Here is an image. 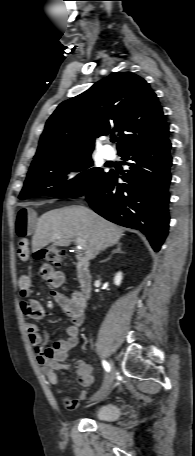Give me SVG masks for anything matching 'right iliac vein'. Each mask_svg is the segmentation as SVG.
Instances as JSON below:
<instances>
[{
	"mask_svg": "<svg viewBox=\"0 0 195 456\" xmlns=\"http://www.w3.org/2000/svg\"><path fill=\"white\" fill-rule=\"evenodd\" d=\"M111 366H112L111 372L105 377V380H104V383H103L101 389L95 394V396L93 397V400H100L103 397H105L106 394L109 392L110 387L114 380V368H113L112 363H111Z\"/></svg>",
	"mask_w": 195,
	"mask_h": 456,
	"instance_id": "obj_1",
	"label": "right iliac vein"
}]
</instances>
